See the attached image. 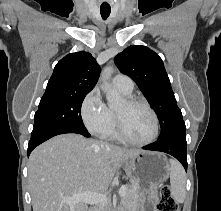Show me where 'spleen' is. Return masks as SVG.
<instances>
[{"label": "spleen", "mask_w": 221, "mask_h": 211, "mask_svg": "<svg viewBox=\"0 0 221 211\" xmlns=\"http://www.w3.org/2000/svg\"><path fill=\"white\" fill-rule=\"evenodd\" d=\"M170 162L171 195L175 202L183 203L186 196V175L182 166L173 159Z\"/></svg>", "instance_id": "spleen-1"}]
</instances>
